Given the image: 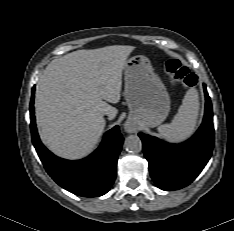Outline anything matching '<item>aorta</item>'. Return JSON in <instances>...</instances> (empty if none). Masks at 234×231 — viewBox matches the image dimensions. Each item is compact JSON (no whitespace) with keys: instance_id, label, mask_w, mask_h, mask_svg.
<instances>
[{"instance_id":"762f6f07","label":"aorta","mask_w":234,"mask_h":231,"mask_svg":"<svg viewBox=\"0 0 234 231\" xmlns=\"http://www.w3.org/2000/svg\"><path fill=\"white\" fill-rule=\"evenodd\" d=\"M124 147L131 153H138L142 150V141L137 135H130L125 139Z\"/></svg>"}]
</instances>
